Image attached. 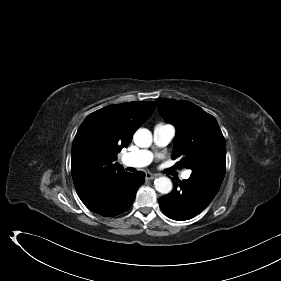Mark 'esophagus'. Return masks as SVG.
Segmentation results:
<instances>
[{"instance_id":"obj_1","label":"esophagus","mask_w":281,"mask_h":281,"mask_svg":"<svg viewBox=\"0 0 281 281\" xmlns=\"http://www.w3.org/2000/svg\"><path fill=\"white\" fill-rule=\"evenodd\" d=\"M158 175L152 174V173H146V179L147 180H153L157 177Z\"/></svg>"}]
</instances>
